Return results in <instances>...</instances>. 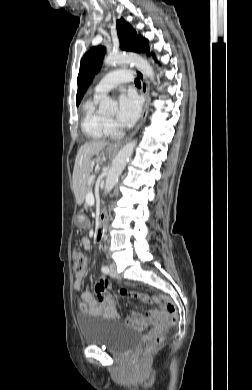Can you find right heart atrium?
<instances>
[{
    "label": "right heart atrium",
    "instance_id": "obj_1",
    "mask_svg": "<svg viewBox=\"0 0 252 390\" xmlns=\"http://www.w3.org/2000/svg\"><path fill=\"white\" fill-rule=\"evenodd\" d=\"M108 128L111 131V133H115L117 131L118 126L115 123V121L109 119L108 120Z\"/></svg>",
    "mask_w": 252,
    "mask_h": 390
}]
</instances>
